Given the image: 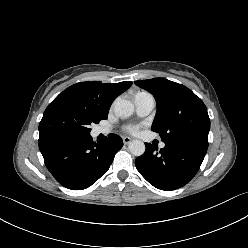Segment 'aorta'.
<instances>
[{
  "mask_svg": "<svg viewBox=\"0 0 248 248\" xmlns=\"http://www.w3.org/2000/svg\"><path fill=\"white\" fill-rule=\"evenodd\" d=\"M114 112L119 117H129L134 112V105L129 100L118 98L114 102ZM128 148L135 156H141L145 152V144L141 140H132Z\"/></svg>",
  "mask_w": 248,
  "mask_h": 248,
  "instance_id": "aorta-1",
  "label": "aorta"
}]
</instances>
